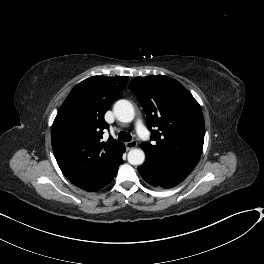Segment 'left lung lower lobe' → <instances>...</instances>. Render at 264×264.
<instances>
[{"mask_svg": "<svg viewBox=\"0 0 264 264\" xmlns=\"http://www.w3.org/2000/svg\"><path fill=\"white\" fill-rule=\"evenodd\" d=\"M142 178L154 187L171 188L181 183L189 174L162 168L146 159L138 167Z\"/></svg>", "mask_w": 264, "mask_h": 264, "instance_id": "left-lung-lower-lobe-1", "label": "left lung lower lobe"}]
</instances>
